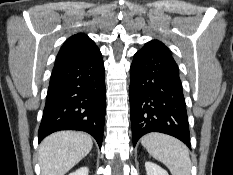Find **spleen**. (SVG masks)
I'll return each mask as SVG.
<instances>
[{"instance_id": "1", "label": "spleen", "mask_w": 233, "mask_h": 175, "mask_svg": "<svg viewBox=\"0 0 233 175\" xmlns=\"http://www.w3.org/2000/svg\"><path fill=\"white\" fill-rule=\"evenodd\" d=\"M141 144L152 157L164 163L172 175H190L189 151L178 139L153 132L143 136Z\"/></svg>"}]
</instances>
